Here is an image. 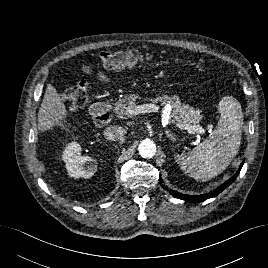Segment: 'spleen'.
<instances>
[{
  "instance_id": "3e777b00",
  "label": "spleen",
  "mask_w": 268,
  "mask_h": 268,
  "mask_svg": "<svg viewBox=\"0 0 268 268\" xmlns=\"http://www.w3.org/2000/svg\"><path fill=\"white\" fill-rule=\"evenodd\" d=\"M218 110V127L210 137L185 157H176L181 169L195 180L207 181L220 174L239 150L243 126L240 103L232 96H227L219 102Z\"/></svg>"
}]
</instances>
